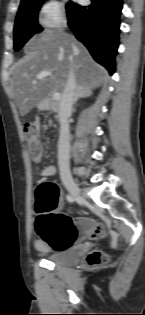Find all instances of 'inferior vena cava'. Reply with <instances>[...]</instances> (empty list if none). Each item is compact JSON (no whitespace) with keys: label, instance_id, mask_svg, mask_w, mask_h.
<instances>
[{"label":"inferior vena cava","instance_id":"inferior-vena-cava-1","mask_svg":"<svg viewBox=\"0 0 145 315\" xmlns=\"http://www.w3.org/2000/svg\"><path fill=\"white\" fill-rule=\"evenodd\" d=\"M76 90V77L73 68H71L58 109V117L60 122V135L58 140V166L60 177L62 180L71 179L69 167L70 133L68 118L70 117L72 112Z\"/></svg>","mask_w":145,"mask_h":315}]
</instances>
